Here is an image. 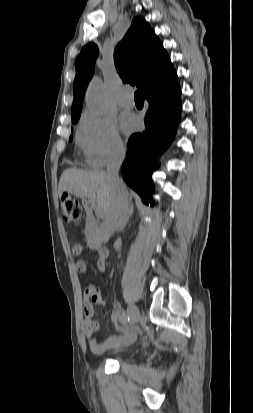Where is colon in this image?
Listing matches in <instances>:
<instances>
[{"label":"colon","instance_id":"1","mask_svg":"<svg viewBox=\"0 0 253 413\" xmlns=\"http://www.w3.org/2000/svg\"><path fill=\"white\" fill-rule=\"evenodd\" d=\"M62 215L66 221H79L82 219V210L78 202L70 195L62 197ZM90 299L93 302H99L100 296L98 291L91 293Z\"/></svg>","mask_w":253,"mask_h":413}]
</instances>
